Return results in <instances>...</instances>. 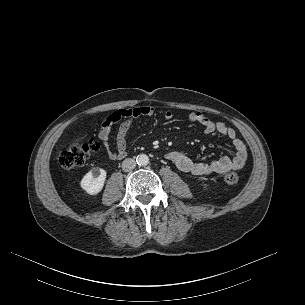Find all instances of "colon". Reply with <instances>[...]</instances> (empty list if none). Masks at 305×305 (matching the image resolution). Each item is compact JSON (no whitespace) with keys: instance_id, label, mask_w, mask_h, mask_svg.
Returning <instances> with one entry per match:
<instances>
[{"instance_id":"obj_1","label":"colon","mask_w":305,"mask_h":305,"mask_svg":"<svg viewBox=\"0 0 305 305\" xmlns=\"http://www.w3.org/2000/svg\"><path fill=\"white\" fill-rule=\"evenodd\" d=\"M99 151V145L89 140L85 143L72 142L59 155V162L64 168H73L84 165L94 154ZM222 180L228 185L238 183L239 177L236 173H226Z\"/></svg>"}]
</instances>
